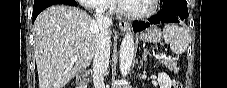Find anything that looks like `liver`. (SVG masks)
<instances>
[{"label": "liver", "mask_w": 227, "mask_h": 88, "mask_svg": "<svg viewBox=\"0 0 227 88\" xmlns=\"http://www.w3.org/2000/svg\"><path fill=\"white\" fill-rule=\"evenodd\" d=\"M95 24L85 11L72 6L53 5L38 15L34 51L39 88H63L90 65L96 46Z\"/></svg>", "instance_id": "liver-1"}]
</instances>
